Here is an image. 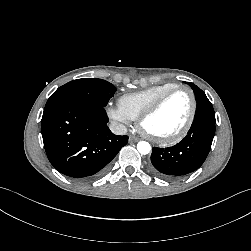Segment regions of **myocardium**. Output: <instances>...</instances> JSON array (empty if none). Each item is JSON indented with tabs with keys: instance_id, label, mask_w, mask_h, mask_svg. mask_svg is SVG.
Masks as SVG:
<instances>
[{
	"instance_id": "f54148a6",
	"label": "myocardium",
	"mask_w": 251,
	"mask_h": 251,
	"mask_svg": "<svg viewBox=\"0 0 251 251\" xmlns=\"http://www.w3.org/2000/svg\"><path fill=\"white\" fill-rule=\"evenodd\" d=\"M182 90L186 91L190 95V98H191L190 114H189L187 121L183 125V127L179 131H177L175 134L167 136V137H156V136L152 135L151 133H149L144 128L145 121L148 118H150L151 116H153L162 107V105L166 102V100L171 95H173L174 93H176L178 91H182ZM196 112H197V100H196V96H195V93L193 92V90L187 86L176 85L175 87L169 89L164 94H162L151 106H149L139 116V118L137 120V124H138L139 130L146 138H148L156 143L162 144V145L173 144V143L180 141L181 139H183L187 135V133L189 132V130L191 129V127L194 123V120L196 117Z\"/></svg>"
}]
</instances>
